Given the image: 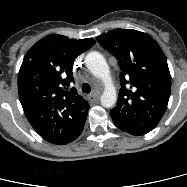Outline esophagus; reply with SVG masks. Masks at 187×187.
Returning a JSON list of instances; mask_svg holds the SVG:
<instances>
[{
  "label": "esophagus",
  "instance_id": "obj_1",
  "mask_svg": "<svg viewBox=\"0 0 187 187\" xmlns=\"http://www.w3.org/2000/svg\"><path fill=\"white\" fill-rule=\"evenodd\" d=\"M99 97H100V93L97 92H93L88 96L89 100L92 102L97 101Z\"/></svg>",
  "mask_w": 187,
  "mask_h": 187
}]
</instances>
